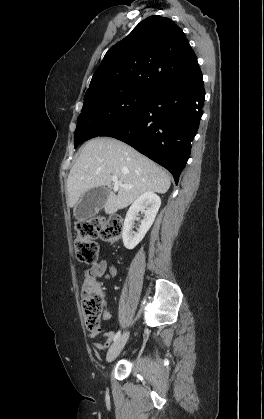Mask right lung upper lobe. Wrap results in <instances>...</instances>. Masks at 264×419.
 Wrapping results in <instances>:
<instances>
[{
	"label": "right lung upper lobe",
	"mask_w": 264,
	"mask_h": 419,
	"mask_svg": "<svg viewBox=\"0 0 264 419\" xmlns=\"http://www.w3.org/2000/svg\"><path fill=\"white\" fill-rule=\"evenodd\" d=\"M201 77L183 31L169 18L150 16L107 51L85 95L124 88L154 92L175 84H193Z\"/></svg>",
	"instance_id": "right-lung-upper-lobe-1"
}]
</instances>
